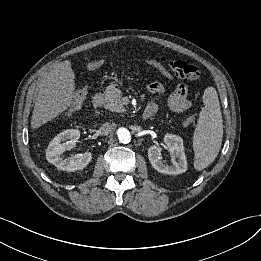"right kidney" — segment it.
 Here are the masks:
<instances>
[{
    "instance_id": "obj_1",
    "label": "right kidney",
    "mask_w": 261,
    "mask_h": 261,
    "mask_svg": "<svg viewBox=\"0 0 261 261\" xmlns=\"http://www.w3.org/2000/svg\"><path fill=\"white\" fill-rule=\"evenodd\" d=\"M79 137L80 131L78 129H69L58 134L49 143L46 150V159L48 162L55 165L60 170L69 172L82 170L85 168L92 159L91 152H85L83 154L74 155L68 158H63L61 156L65 151H69L75 147Z\"/></svg>"
}]
</instances>
